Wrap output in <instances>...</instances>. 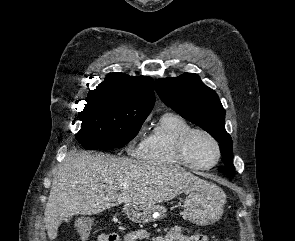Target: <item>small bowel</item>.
<instances>
[{
    "mask_svg": "<svg viewBox=\"0 0 295 241\" xmlns=\"http://www.w3.org/2000/svg\"><path fill=\"white\" fill-rule=\"evenodd\" d=\"M209 241L202 232H190L182 226L173 227L166 236L152 235L146 230H135L120 238L115 233L103 234L99 241Z\"/></svg>",
    "mask_w": 295,
    "mask_h": 241,
    "instance_id": "obj_1",
    "label": "small bowel"
}]
</instances>
